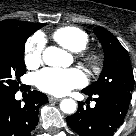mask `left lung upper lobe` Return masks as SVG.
<instances>
[{
	"label": "left lung upper lobe",
	"mask_w": 136,
	"mask_h": 136,
	"mask_svg": "<svg viewBox=\"0 0 136 136\" xmlns=\"http://www.w3.org/2000/svg\"><path fill=\"white\" fill-rule=\"evenodd\" d=\"M94 32L102 44L105 63L99 80L84 90L91 94L108 91L132 92L134 77L127 51L108 30L97 27Z\"/></svg>",
	"instance_id": "1"
}]
</instances>
